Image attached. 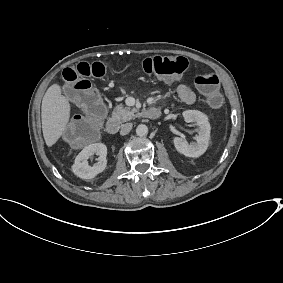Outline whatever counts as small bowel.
<instances>
[{
  "mask_svg": "<svg viewBox=\"0 0 283 283\" xmlns=\"http://www.w3.org/2000/svg\"><path fill=\"white\" fill-rule=\"evenodd\" d=\"M177 95L179 98L187 103L192 104L196 100V95L193 89L187 84H180L176 89Z\"/></svg>",
  "mask_w": 283,
  "mask_h": 283,
  "instance_id": "small-bowel-1",
  "label": "small bowel"
}]
</instances>
